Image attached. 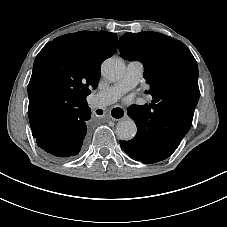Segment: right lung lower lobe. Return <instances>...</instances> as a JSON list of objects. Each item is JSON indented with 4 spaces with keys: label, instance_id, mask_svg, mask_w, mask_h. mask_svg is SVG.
Returning <instances> with one entry per match:
<instances>
[{
    "label": "right lung lower lobe",
    "instance_id": "right-lung-lower-lobe-1",
    "mask_svg": "<svg viewBox=\"0 0 227 227\" xmlns=\"http://www.w3.org/2000/svg\"><path fill=\"white\" fill-rule=\"evenodd\" d=\"M39 114V109H35L33 118L29 115L32 134L38 146L55 159L77 155L83 145L91 118L88 104L74 109L67 120L51 129L40 122H35Z\"/></svg>",
    "mask_w": 227,
    "mask_h": 227
}]
</instances>
